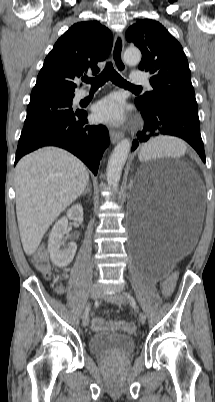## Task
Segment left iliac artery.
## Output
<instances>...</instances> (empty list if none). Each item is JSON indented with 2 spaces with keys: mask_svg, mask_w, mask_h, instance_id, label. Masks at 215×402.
Returning <instances> with one entry per match:
<instances>
[{
  "mask_svg": "<svg viewBox=\"0 0 215 402\" xmlns=\"http://www.w3.org/2000/svg\"><path fill=\"white\" fill-rule=\"evenodd\" d=\"M124 294L127 296V298L132 299V297L130 296L129 293H124Z\"/></svg>",
  "mask_w": 215,
  "mask_h": 402,
  "instance_id": "1",
  "label": "left iliac artery"
}]
</instances>
